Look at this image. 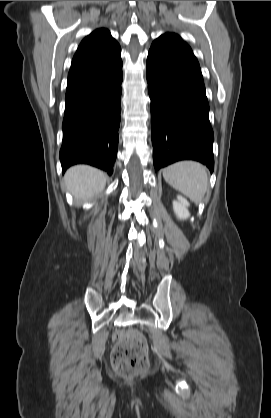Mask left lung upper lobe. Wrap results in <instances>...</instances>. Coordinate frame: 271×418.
Here are the masks:
<instances>
[{
	"label": "left lung upper lobe",
	"mask_w": 271,
	"mask_h": 418,
	"mask_svg": "<svg viewBox=\"0 0 271 418\" xmlns=\"http://www.w3.org/2000/svg\"><path fill=\"white\" fill-rule=\"evenodd\" d=\"M160 37H166V38H168V39H172V40H174V41H176V42H178V43H180V44H182V45H184L188 50H190L191 52H192V50H191V48L188 46V44L187 43H185L183 40H182V38L180 37V36H178L177 34H174V33H165L164 35H161Z\"/></svg>",
	"instance_id": "left-lung-upper-lobe-1"
}]
</instances>
